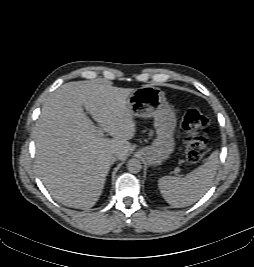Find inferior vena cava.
<instances>
[{
    "label": "inferior vena cava",
    "mask_w": 254,
    "mask_h": 267,
    "mask_svg": "<svg viewBox=\"0 0 254 267\" xmlns=\"http://www.w3.org/2000/svg\"><path fill=\"white\" fill-rule=\"evenodd\" d=\"M116 160H118V155H113L111 161L114 163Z\"/></svg>",
    "instance_id": "602c4592"
}]
</instances>
